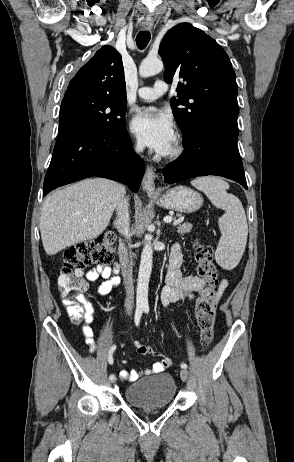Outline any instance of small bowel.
I'll use <instances>...</instances> for the list:
<instances>
[{"instance_id":"obj_1","label":"small bowel","mask_w":294,"mask_h":462,"mask_svg":"<svg viewBox=\"0 0 294 462\" xmlns=\"http://www.w3.org/2000/svg\"><path fill=\"white\" fill-rule=\"evenodd\" d=\"M183 263V256L181 253L180 244L176 243L172 247L169 264L166 273V285L163 287L160 300L162 306H167L171 303H175L181 300H194L196 294L203 288L204 282L199 276H184L181 272V266ZM86 278L90 282L102 280L97 289L99 296L107 295L114 287L120 284V277L118 275V265L114 264L112 267L108 265H98L95 268L89 270L86 274ZM228 286V281L223 279L217 290L216 301L219 300L223 291ZM84 307V325L82 326V333L84 336L85 343L88 346L90 352H95L96 344L94 340V332L90 326L93 321L94 306L88 300L82 298ZM137 351L145 355L148 353V346L140 343L135 344ZM170 360L163 358L162 360L154 363L150 368L145 369L142 372L136 370H122L120 377L126 381H135L141 374H153L163 372L170 366Z\"/></svg>"}]
</instances>
